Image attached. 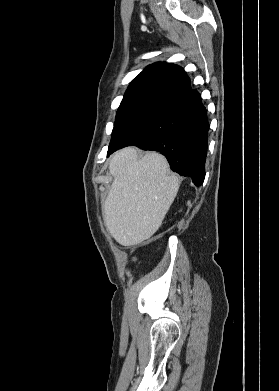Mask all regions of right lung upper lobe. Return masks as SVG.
I'll list each match as a JSON object with an SVG mask.
<instances>
[{
	"mask_svg": "<svg viewBox=\"0 0 279 391\" xmlns=\"http://www.w3.org/2000/svg\"><path fill=\"white\" fill-rule=\"evenodd\" d=\"M191 90L190 79L180 66L157 62L131 82L118 111L142 106L163 108Z\"/></svg>",
	"mask_w": 279,
	"mask_h": 391,
	"instance_id": "obj_1",
	"label": "right lung upper lobe"
}]
</instances>
